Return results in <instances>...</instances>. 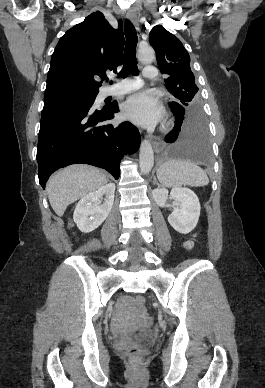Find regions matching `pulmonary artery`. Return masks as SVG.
Here are the masks:
<instances>
[{
	"label": "pulmonary artery",
	"mask_w": 265,
	"mask_h": 388,
	"mask_svg": "<svg viewBox=\"0 0 265 388\" xmlns=\"http://www.w3.org/2000/svg\"><path fill=\"white\" fill-rule=\"evenodd\" d=\"M146 70H145V74H144V77L146 79H148L150 82H153L155 80V77L156 76V65L155 64H146ZM132 78V75H123V77L121 75H118L116 77V80L120 83H115L113 85V88L115 90H118L116 91L115 93L118 94V95H122V94H125L126 92H129L130 94H135L137 92V89L135 88V86L137 88L140 87V85L142 84V81L140 79H133ZM127 82H131V83H128Z\"/></svg>",
	"instance_id": "obj_1"
}]
</instances>
